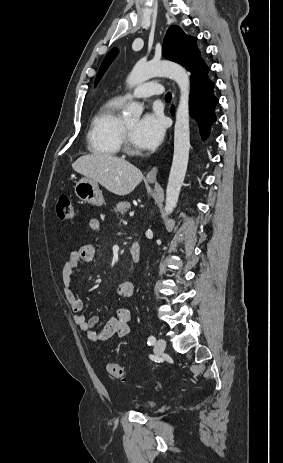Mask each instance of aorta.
I'll list each match as a JSON object with an SVG mask.
<instances>
[{"instance_id": "762f6f07", "label": "aorta", "mask_w": 283, "mask_h": 463, "mask_svg": "<svg viewBox=\"0 0 283 463\" xmlns=\"http://www.w3.org/2000/svg\"><path fill=\"white\" fill-rule=\"evenodd\" d=\"M166 76L173 79L179 86L180 99L176 111L174 128V154L172 166L166 189L165 213L171 214L178 202L181 187L184 182L190 150L189 128V93L190 79L186 70L179 64L170 61L136 63L127 77V85L133 88L153 77ZM143 107L139 103L132 102L124 111L126 120L138 119Z\"/></svg>"}]
</instances>
